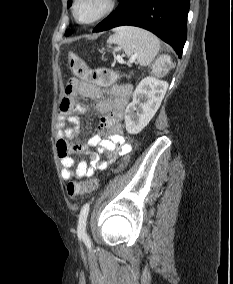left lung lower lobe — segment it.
Returning a JSON list of instances; mask_svg holds the SVG:
<instances>
[{
  "label": "left lung lower lobe",
  "mask_w": 233,
  "mask_h": 284,
  "mask_svg": "<svg viewBox=\"0 0 233 284\" xmlns=\"http://www.w3.org/2000/svg\"><path fill=\"white\" fill-rule=\"evenodd\" d=\"M190 0H120L117 9L93 32L131 25L151 31L170 44L179 58L187 37Z\"/></svg>",
  "instance_id": "1"
}]
</instances>
